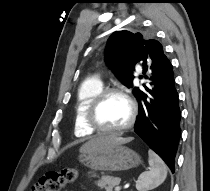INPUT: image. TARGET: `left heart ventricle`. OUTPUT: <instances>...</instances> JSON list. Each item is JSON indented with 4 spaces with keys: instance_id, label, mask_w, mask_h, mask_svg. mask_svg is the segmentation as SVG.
Returning a JSON list of instances; mask_svg holds the SVG:
<instances>
[{
    "instance_id": "obj_1",
    "label": "left heart ventricle",
    "mask_w": 210,
    "mask_h": 191,
    "mask_svg": "<svg viewBox=\"0 0 210 191\" xmlns=\"http://www.w3.org/2000/svg\"><path fill=\"white\" fill-rule=\"evenodd\" d=\"M129 116V104L120 95H110L106 97L97 112L98 121L106 128H118L125 125Z\"/></svg>"
}]
</instances>
